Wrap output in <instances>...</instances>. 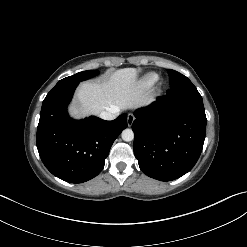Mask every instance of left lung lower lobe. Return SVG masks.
Here are the masks:
<instances>
[{
    "instance_id": "obj_1",
    "label": "left lung lower lobe",
    "mask_w": 247,
    "mask_h": 247,
    "mask_svg": "<svg viewBox=\"0 0 247 247\" xmlns=\"http://www.w3.org/2000/svg\"><path fill=\"white\" fill-rule=\"evenodd\" d=\"M134 116V154L146 175L171 181L193 168L203 148L207 121L196 88L169 89Z\"/></svg>"
}]
</instances>
